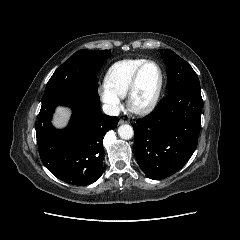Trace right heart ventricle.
I'll list each match as a JSON object with an SVG mask.
<instances>
[{
	"label": "right heart ventricle",
	"mask_w": 240,
	"mask_h": 240,
	"mask_svg": "<svg viewBox=\"0 0 240 240\" xmlns=\"http://www.w3.org/2000/svg\"><path fill=\"white\" fill-rule=\"evenodd\" d=\"M145 59H125L112 64L105 75V85L119 97H125L132 75Z\"/></svg>",
	"instance_id": "obj_1"
}]
</instances>
